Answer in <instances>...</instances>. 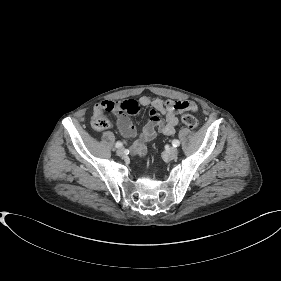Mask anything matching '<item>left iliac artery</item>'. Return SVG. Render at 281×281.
<instances>
[{"instance_id":"1","label":"left iliac artery","mask_w":281,"mask_h":281,"mask_svg":"<svg viewBox=\"0 0 281 281\" xmlns=\"http://www.w3.org/2000/svg\"><path fill=\"white\" fill-rule=\"evenodd\" d=\"M172 145H173L174 147H178V146L180 145V142H179L178 140H173V141H172Z\"/></svg>"}]
</instances>
